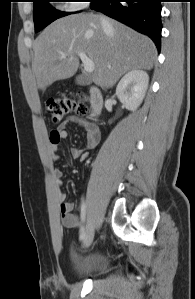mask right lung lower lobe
<instances>
[{
  "label": "right lung lower lobe",
  "instance_id": "obj_1",
  "mask_svg": "<svg viewBox=\"0 0 195 299\" xmlns=\"http://www.w3.org/2000/svg\"><path fill=\"white\" fill-rule=\"evenodd\" d=\"M162 0H93L91 8L149 36L160 51Z\"/></svg>",
  "mask_w": 195,
  "mask_h": 299
}]
</instances>
